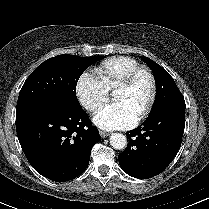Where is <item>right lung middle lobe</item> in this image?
<instances>
[{
	"mask_svg": "<svg viewBox=\"0 0 209 209\" xmlns=\"http://www.w3.org/2000/svg\"><path fill=\"white\" fill-rule=\"evenodd\" d=\"M104 56L58 55L40 64L26 79L18 97L16 114L48 100L79 104L76 85L90 65Z\"/></svg>",
	"mask_w": 209,
	"mask_h": 209,
	"instance_id": "dd1d6c3e",
	"label": "right lung middle lobe"
}]
</instances>
